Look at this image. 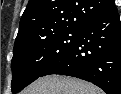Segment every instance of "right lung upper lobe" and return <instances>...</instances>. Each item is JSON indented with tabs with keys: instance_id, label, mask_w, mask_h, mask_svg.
Instances as JSON below:
<instances>
[{
	"instance_id": "1",
	"label": "right lung upper lobe",
	"mask_w": 121,
	"mask_h": 94,
	"mask_svg": "<svg viewBox=\"0 0 121 94\" xmlns=\"http://www.w3.org/2000/svg\"><path fill=\"white\" fill-rule=\"evenodd\" d=\"M115 5L114 0H29L15 44L33 33L77 29Z\"/></svg>"
}]
</instances>
